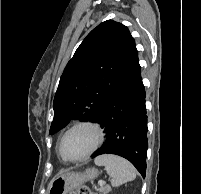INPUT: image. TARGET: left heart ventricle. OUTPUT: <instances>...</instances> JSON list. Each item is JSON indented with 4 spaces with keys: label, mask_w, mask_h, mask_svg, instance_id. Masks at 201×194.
Instances as JSON below:
<instances>
[{
    "label": "left heart ventricle",
    "mask_w": 201,
    "mask_h": 194,
    "mask_svg": "<svg viewBox=\"0 0 201 194\" xmlns=\"http://www.w3.org/2000/svg\"><path fill=\"white\" fill-rule=\"evenodd\" d=\"M94 133L88 128H78L66 135L62 143V152L67 158L84 155L94 144Z\"/></svg>",
    "instance_id": "1"
}]
</instances>
